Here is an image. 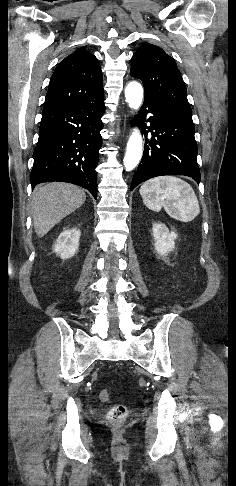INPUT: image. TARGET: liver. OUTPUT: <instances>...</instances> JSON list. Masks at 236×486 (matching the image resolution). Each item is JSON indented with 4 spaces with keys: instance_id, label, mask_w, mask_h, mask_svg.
I'll return each mask as SVG.
<instances>
[{
    "instance_id": "1",
    "label": "liver",
    "mask_w": 236,
    "mask_h": 486,
    "mask_svg": "<svg viewBox=\"0 0 236 486\" xmlns=\"http://www.w3.org/2000/svg\"><path fill=\"white\" fill-rule=\"evenodd\" d=\"M86 195L79 187L63 182H52L34 188L31 214L35 233L46 235L64 217L84 204Z\"/></svg>"
}]
</instances>
